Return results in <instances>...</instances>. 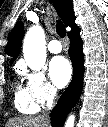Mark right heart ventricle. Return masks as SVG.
Returning <instances> with one entry per match:
<instances>
[{"label": "right heart ventricle", "instance_id": "right-heart-ventricle-1", "mask_svg": "<svg viewBox=\"0 0 108 127\" xmlns=\"http://www.w3.org/2000/svg\"><path fill=\"white\" fill-rule=\"evenodd\" d=\"M14 103L17 110L23 114H35L39 110V106L32 98L28 88L22 84L16 86Z\"/></svg>", "mask_w": 108, "mask_h": 127}]
</instances>
